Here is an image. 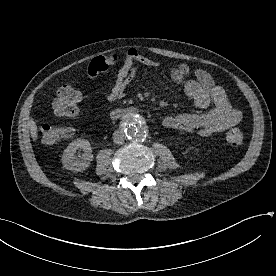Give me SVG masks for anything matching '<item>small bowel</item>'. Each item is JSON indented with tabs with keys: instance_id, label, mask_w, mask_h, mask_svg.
I'll list each match as a JSON object with an SVG mask.
<instances>
[{
	"instance_id": "small-bowel-1",
	"label": "small bowel",
	"mask_w": 276,
	"mask_h": 276,
	"mask_svg": "<svg viewBox=\"0 0 276 276\" xmlns=\"http://www.w3.org/2000/svg\"><path fill=\"white\" fill-rule=\"evenodd\" d=\"M137 64L157 66V62L143 56L137 49L130 48L123 58L115 54L95 57L87 68V76L89 80H94L100 73L111 68L110 75L115 78V82L111 88L104 91V97L109 102H114L125 96L128 85L135 78ZM189 73L190 67L180 64L171 69L170 76L174 83L183 86L185 94L198 108L206 109L211 104L214 108L200 114L182 113L167 116L163 119V126L188 133L197 132L201 136H211L237 125L242 119V113L231 105L223 87L203 69L195 70L194 80H185Z\"/></svg>"
}]
</instances>
